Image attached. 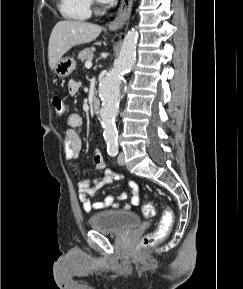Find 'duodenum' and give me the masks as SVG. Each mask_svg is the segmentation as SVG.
<instances>
[{
	"instance_id": "duodenum-1",
	"label": "duodenum",
	"mask_w": 243,
	"mask_h": 289,
	"mask_svg": "<svg viewBox=\"0 0 243 289\" xmlns=\"http://www.w3.org/2000/svg\"><path fill=\"white\" fill-rule=\"evenodd\" d=\"M101 107L100 100L98 98H94L92 102V108L95 113H98Z\"/></svg>"
}]
</instances>
